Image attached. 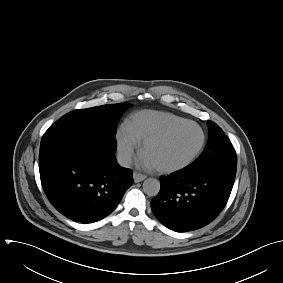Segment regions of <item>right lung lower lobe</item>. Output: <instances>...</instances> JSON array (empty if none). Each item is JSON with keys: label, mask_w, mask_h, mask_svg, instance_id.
I'll return each instance as SVG.
<instances>
[{"label": "right lung lower lobe", "mask_w": 283, "mask_h": 283, "mask_svg": "<svg viewBox=\"0 0 283 283\" xmlns=\"http://www.w3.org/2000/svg\"><path fill=\"white\" fill-rule=\"evenodd\" d=\"M115 136L86 134L40 150L44 192L57 211L81 223L110 214L133 184L132 171L115 159Z\"/></svg>", "instance_id": "right-lung-lower-lobe-1"}]
</instances>
